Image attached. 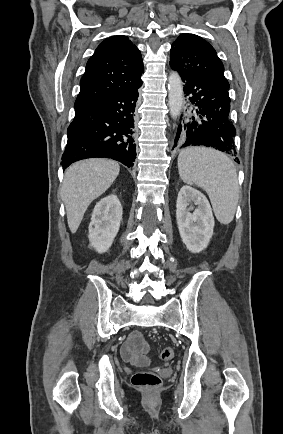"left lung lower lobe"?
Instances as JSON below:
<instances>
[{"instance_id": "1", "label": "left lung lower lobe", "mask_w": 283, "mask_h": 434, "mask_svg": "<svg viewBox=\"0 0 283 434\" xmlns=\"http://www.w3.org/2000/svg\"><path fill=\"white\" fill-rule=\"evenodd\" d=\"M184 82L187 106L180 117L175 143L182 146H208L228 154H235L233 139L236 129L230 123L228 89L187 72L170 63ZM235 161L239 163L238 158Z\"/></svg>"}]
</instances>
